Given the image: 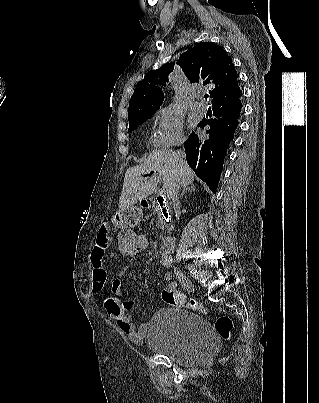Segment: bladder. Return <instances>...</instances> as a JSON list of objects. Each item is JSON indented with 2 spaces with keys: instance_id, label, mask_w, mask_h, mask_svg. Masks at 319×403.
Masks as SVG:
<instances>
[{
  "instance_id": "31cf9c89",
  "label": "bladder",
  "mask_w": 319,
  "mask_h": 403,
  "mask_svg": "<svg viewBox=\"0 0 319 403\" xmlns=\"http://www.w3.org/2000/svg\"><path fill=\"white\" fill-rule=\"evenodd\" d=\"M148 328L146 345L156 354L184 366L206 363L219 347L207 321L183 309L156 311Z\"/></svg>"
}]
</instances>
